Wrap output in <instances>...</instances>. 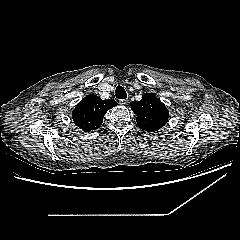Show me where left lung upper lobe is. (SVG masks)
I'll return each mask as SVG.
<instances>
[{
    "label": "left lung upper lobe",
    "mask_w": 240,
    "mask_h": 240,
    "mask_svg": "<svg viewBox=\"0 0 240 240\" xmlns=\"http://www.w3.org/2000/svg\"><path fill=\"white\" fill-rule=\"evenodd\" d=\"M131 109L137 116L138 126L148 132L158 131L166 124L169 117L165 105L150 93L144 94L140 101H133Z\"/></svg>",
    "instance_id": "5c2ea615"
}]
</instances>
